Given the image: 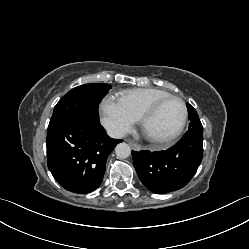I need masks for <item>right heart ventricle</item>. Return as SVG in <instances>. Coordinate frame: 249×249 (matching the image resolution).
<instances>
[{"label":"right heart ventricle","instance_id":"right-heart-ventricle-1","mask_svg":"<svg viewBox=\"0 0 249 249\" xmlns=\"http://www.w3.org/2000/svg\"><path fill=\"white\" fill-rule=\"evenodd\" d=\"M171 95L167 91L155 88H139L119 94V99L140 118L143 111L160 98Z\"/></svg>","mask_w":249,"mask_h":249}]
</instances>
